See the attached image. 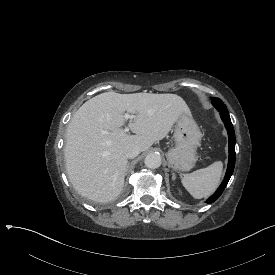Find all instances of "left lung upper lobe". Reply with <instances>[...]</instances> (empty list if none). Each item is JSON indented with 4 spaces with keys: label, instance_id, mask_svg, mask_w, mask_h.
I'll return each mask as SVG.
<instances>
[{
    "label": "left lung upper lobe",
    "instance_id": "5c2ea615",
    "mask_svg": "<svg viewBox=\"0 0 275 275\" xmlns=\"http://www.w3.org/2000/svg\"><path fill=\"white\" fill-rule=\"evenodd\" d=\"M212 104L216 107L218 111L228 113L226 105L219 98H212Z\"/></svg>",
    "mask_w": 275,
    "mask_h": 275
}]
</instances>
